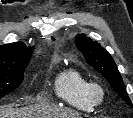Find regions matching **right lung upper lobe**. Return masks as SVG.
I'll return each mask as SVG.
<instances>
[{"instance_id":"1","label":"right lung upper lobe","mask_w":133,"mask_h":118,"mask_svg":"<svg viewBox=\"0 0 133 118\" xmlns=\"http://www.w3.org/2000/svg\"><path fill=\"white\" fill-rule=\"evenodd\" d=\"M33 53L32 47L22 42L0 46V67L11 68L28 64Z\"/></svg>"}]
</instances>
